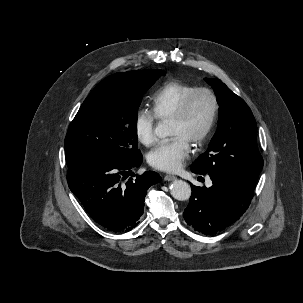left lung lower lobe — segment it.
I'll list each match as a JSON object with an SVG mask.
<instances>
[{"mask_svg": "<svg viewBox=\"0 0 303 303\" xmlns=\"http://www.w3.org/2000/svg\"><path fill=\"white\" fill-rule=\"evenodd\" d=\"M209 176L213 182L210 188L191 184L192 196L183 213L188 225L206 235L216 234L239 219L248 208L255 189L222 173L210 172Z\"/></svg>", "mask_w": 303, "mask_h": 303, "instance_id": "left-lung-lower-lobe-1", "label": "left lung lower lobe"}]
</instances>
